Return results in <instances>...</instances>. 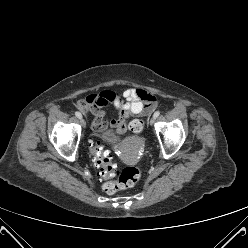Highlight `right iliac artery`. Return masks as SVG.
I'll return each instance as SVG.
<instances>
[{"label":"right iliac artery","instance_id":"right-iliac-artery-1","mask_svg":"<svg viewBox=\"0 0 248 248\" xmlns=\"http://www.w3.org/2000/svg\"><path fill=\"white\" fill-rule=\"evenodd\" d=\"M75 116L78 117L79 119L82 118V115L80 112H75Z\"/></svg>","mask_w":248,"mask_h":248}]
</instances>
